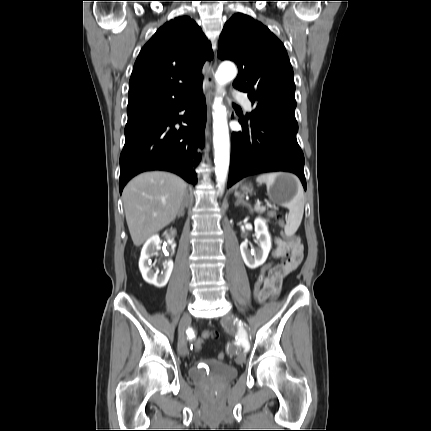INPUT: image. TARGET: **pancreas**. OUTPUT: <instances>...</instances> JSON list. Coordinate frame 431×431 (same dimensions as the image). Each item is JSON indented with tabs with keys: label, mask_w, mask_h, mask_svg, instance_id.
Masks as SVG:
<instances>
[{
	"label": "pancreas",
	"mask_w": 431,
	"mask_h": 431,
	"mask_svg": "<svg viewBox=\"0 0 431 431\" xmlns=\"http://www.w3.org/2000/svg\"><path fill=\"white\" fill-rule=\"evenodd\" d=\"M255 211L258 212V213H260V214H262V213H264L266 211V207H264V206L255 207ZM268 216L269 217H274L275 214H274V212H268Z\"/></svg>",
	"instance_id": "cf45deb5"
}]
</instances>
